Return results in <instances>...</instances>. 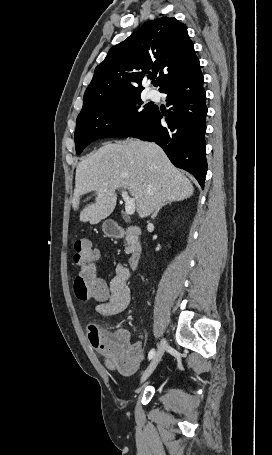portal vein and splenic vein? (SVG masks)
I'll return each mask as SVG.
<instances>
[{
  "instance_id": "portal-vein-and-splenic-vein-1",
  "label": "portal vein and splenic vein",
  "mask_w": 272,
  "mask_h": 455,
  "mask_svg": "<svg viewBox=\"0 0 272 455\" xmlns=\"http://www.w3.org/2000/svg\"><path fill=\"white\" fill-rule=\"evenodd\" d=\"M122 198L125 202V212L128 215H132L135 212V200L129 197L126 191H122Z\"/></svg>"
}]
</instances>
